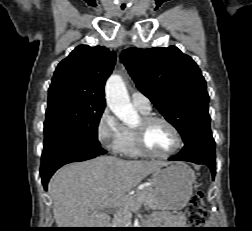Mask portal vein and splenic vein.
I'll return each instance as SVG.
<instances>
[{"mask_svg": "<svg viewBox=\"0 0 252 231\" xmlns=\"http://www.w3.org/2000/svg\"><path fill=\"white\" fill-rule=\"evenodd\" d=\"M130 202H131V197H129V196H126L121 201L108 200L103 205V208H110V207H116V206L121 207L122 205L128 204Z\"/></svg>", "mask_w": 252, "mask_h": 231, "instance_id": "obj_1", "label": "portal vein and splenic vein"}]
</instances>
